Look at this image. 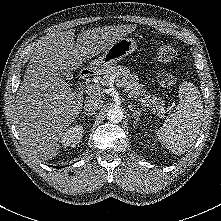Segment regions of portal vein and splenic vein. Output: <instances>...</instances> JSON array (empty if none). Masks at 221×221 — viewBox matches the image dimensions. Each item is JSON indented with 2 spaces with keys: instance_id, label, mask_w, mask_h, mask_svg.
Wrapping results in <instances>:
<instances>
[{
  "instance_id": "18ae733b",
  "label": "portal vein and splenic vein",
  "mask_w": 221,
  "mask_h": 221,
  "mask_svg": "<svg viewBox=\"0 0 221 221\" xmlns=\"http://www.w3.org/2000/svg\"><path fill=\"white\" fill-rule=\"evenodd\" d=\"M118 86H121L120 82H117ZM86 92L88 94H99L101 92V87L99 85H89L86 88Z\"/></svg>"
}]
</instances>
